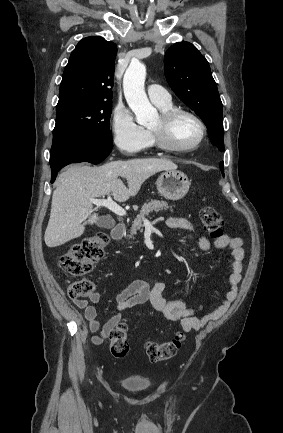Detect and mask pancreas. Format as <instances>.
<instances>
[{"label":"pancreas","mask_w":283,"mask_h":433,"mask_svg":"<svg viewBox=\"0 0 283 433\" xmlns=\"http://www.w3.org/2000/svg\"><path fill=\"white\" fill-rule=\"evenodd\" d=\"M167 208H170V206H168L166 200H150V202H145L140 210V214H137V219L133 221L130 227L129 239H133V235H137V231H143L141 229V227H144L142 221H144L149 212H153V210L154 212H158V210H167Z\"/></svg>","instance_id":"obj_1"}]
</instances>
